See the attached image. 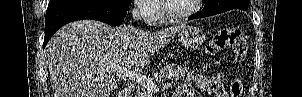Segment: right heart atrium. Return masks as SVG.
I'll return each mask as SVG.
<instances>
[{"label": "right heart atrium", "instance_id": "1", "mask_svg": "<svg viewBox=\"0 0 302 97\" xmlns=\"http://www.w3.org/2000/svg\"><path fill=\"white\" fill-rule=\"evenodd\" d=\"M136 12L148 24H156L162 20V10L158 0L136 1Z\"/></svg>", "mask_w": 302, "mask_h": 97}]
</instances>
